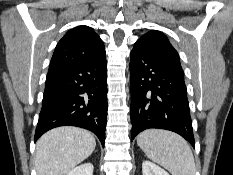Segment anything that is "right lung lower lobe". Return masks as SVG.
<instances>
[{
	"instance_id": "1",
	"label": "right lung lower lobe",
	"mask_w": 233,
	"mask_h": 175,
	"mask_svg": "<svg viewBox=\"0 0 233 175\" xmlns=\"http://www.w3.org/2000/svg\"><path fill=\"white\" fill-rule=\"evenodd\" d=\"M106 53L48 72L35 141L58 126H77L96 134L102 146L107 122Z\"/></svg>"
}]
</instances>
